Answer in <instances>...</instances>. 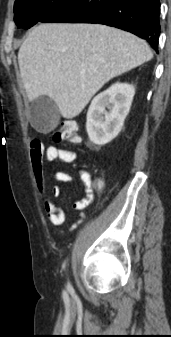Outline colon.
Returning a JSON list of instances; mask_svg holds the SVG:
<instances>
[{
  "mask_svg": "<svg viewBox=\"0 0 171 337\" xmlns=\"http://www.w3.org/2000/svg\"><path fill=\"white\" fill-rule=\"evenodd\" d=\"M52 139L54 142H67L78 144L81 141V136L77 125L74 121H66L60 128L52 132ZM97 187H101L97 184Z\"/></svg>",
  "mask_w": 171,
  "mask_h": 337,
  "instance_id": "1",
  "label": "colon"
}]
</instances>
